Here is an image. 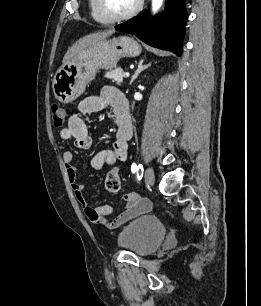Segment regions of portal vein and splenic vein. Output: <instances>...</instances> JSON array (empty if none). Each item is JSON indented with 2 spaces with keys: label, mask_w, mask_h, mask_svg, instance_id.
Listing matches in <instances>:
<instances>
[{
  "label": "portal vein and splenic vein",
  "mask_w": 261,
  "mask_h": 306,
  "mask_svg": "<svg viewBox=\"0 0 261 306\" xmlns=\"http://www.w3.org/2000/svg\"><path fill=\"white\" fill-rule=\"evenodd\" d=\"M129 75H130V74H129L128 72L123 74V76H124L125 78L129 77Z\"/></svg>",
  "instance_id": "portal-vein-and-splenic-vein-1"
}]
</instances>
